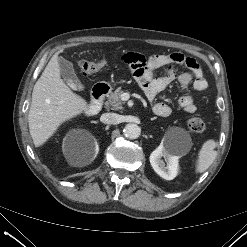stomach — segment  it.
<instances>
[{
	"mask_svg": "<svg viewBox=\"0 0 247 247\" xmlns=\"http://www.w3.org/2000/svg\"><path fill=\"white\" fill-rule=\"evenodd\" d=\"M124 82H125V80H123V79H122V80H120V83H124Z\"/></svg>",
	"mask_w": 247,
	"mask_h": 247,
	"instance_id": "obj_1",
	"label": "stomach"
}]
</instances>
